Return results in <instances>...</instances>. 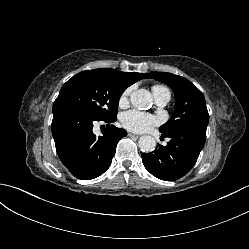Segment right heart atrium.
<instances>
[{"instance_id": "1", "label": "right heart atrium", "mask_w": 249, "mask_h": 249, "mask_svg": "<svg viewBox=\"0 0 249 249\" xmlns=\"http://www.w3.org/2000/svg\"><path fill=\"white\" fill-rule=\"evenodd\" d=\"M130 92H131V89H127L121 94V96L119 98L120 105H124L128 101V96H129Z\"/></svg>"}]
</instances>
